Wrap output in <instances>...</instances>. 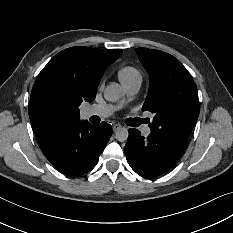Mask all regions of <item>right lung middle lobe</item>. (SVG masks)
Instances as JSON below:
<instances>
[{
    "label": "right lung middle lobe",
    "instance_id": "1",
    "mask_svg": "<svg viewBox=\"0 0 233 233\" xmlns=\"http://www.w3.org/2000/svg\"><path fill=\"white\" fill-rule=\"evenodd\" d=\"M80 104H81L80 99L73 98V99H70L68 101H65V100L58 101L55 106H56V108H63V107L70 106V107L74 108V110L76 112H79L78 107L80 106Z\"/></svg>",
    "mask_w": 233,
    "mask_h": 233
}]
</instances>
